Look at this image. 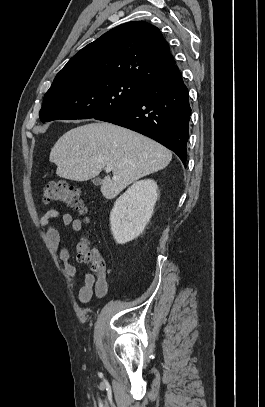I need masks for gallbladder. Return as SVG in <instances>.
Listing matches in <instances>:
<instances>
[{
    "instance_id": "1",
    "label": "gallbladder",
    "mask_w": 265,
    "mask_h": 407,
    "mask_svg": "<svg viewBox=\"0 0 265 407\" xmlns=\"http://www.w3.org/2000/svg\"><path fill=\"white\" fill-rule=\"evenodd\" d=\"M92 182H93L94 185H100L101 184V179L95 178V179H93Z\"/></svg>"
}]
</instances>
